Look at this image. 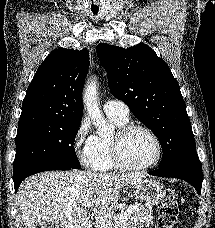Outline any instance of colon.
I'll use <instances>...</instances> for the list:
<instances>
[{
  "mask_svg": "<svg viewBox=\"0 0 215 228\" xmlns=\"http://www.w3.org/2000/svg\"><path fill=\"white\" fill-rule=\"evenodd\" d=\"M177 220V204L172 199H168L159 210L158 228H175Z\"/></svg>",
  "mask_w": 215,
  "mask_h": 228,
  "instance_id": "5ec220e1",
  "label": "colon"
}]
</instances>
